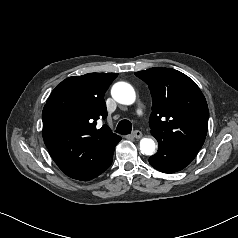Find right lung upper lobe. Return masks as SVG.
<instances>
[{
    "mask_svg": "<svg viewBox=\"0 0 238 238\" xmlns=\"http://www.w3.org/2000/svg\"><path fill=\"white\" fill-rule=\"evenodd\" d=\"M117 73H88L65 79L52 91L43 112V139L57 166L69 177L87 181L121 140L107 125L104 94Z\"/></svg>",
    "mask_w": 238,
    "mask_h": 238,
    "instance_id": "cb5924a9",
    "label": "right lung upper lobe"
}]
</instances>
